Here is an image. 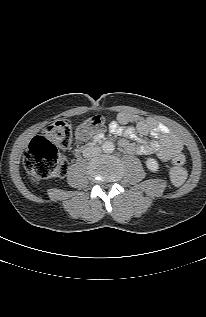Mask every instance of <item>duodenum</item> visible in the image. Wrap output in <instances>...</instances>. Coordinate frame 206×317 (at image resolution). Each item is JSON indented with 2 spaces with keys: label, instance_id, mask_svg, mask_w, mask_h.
<instances>
[{
  "label": "duodenum",
  "instance_id": "duodenum-1",
  "mask_svg": "<svg viewBox=\"0 0 206 317\" xmlns=\"http://www.w3.org/2000/svg\"><path fill=\"white\" fill-rule=\"evenodd\" d=\"M100 140L97 138L96 140H94L92 143H89V144H85V145H82L80 147H78L75 152L77 154H80V153H83L87 150H89L90 148H92L96 143H98Z\"/></svg>",
  "mask_w": 206,
  "mask_h": 317
}]
</instances>
